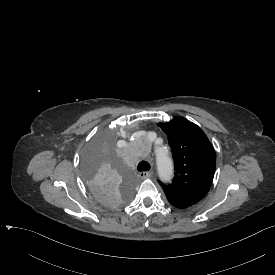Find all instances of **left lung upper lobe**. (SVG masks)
Returning a JSON list of instances; mask_svg holds the SVG:
<instances>
[{
	"label": "left lung upper lobe",
	"mask_w": 275,
	"mask_h": 275,
	"mask_svg": "<svg viewBox=\"0 0 275 275\" xmlns=\"http://www.w3.org/2000/svg\"><path fill=\"white\" fill-rule=\"evenodd\" d=\"M159 125L168 135L175 163L172 183H159L171 205L189 207L199 202L211 186L216 165L215 150L205 133L183 117Z\"/></svg>",
	"instance_id": "left-lung-upper-lobe-1"
}]
</instances>
